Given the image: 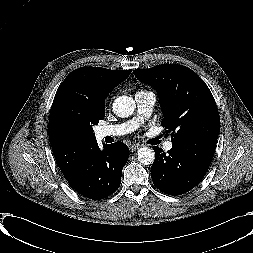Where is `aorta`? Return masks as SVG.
Returning a JSON list of instances; mask_svg holds the SVG:
<instances>
[{
	"label": "aorta",
	"instance_id": "762f6f07",
	"mask_svg": "<svg viewBox=\"0 0 253 253\" xmlns=\"http://www.w3.org/2000/svg\"><path fill=\"white\" fill-rule=\"evenodd\" d=\"M136 108L135 101L129 96H119L113 103V112L121 118H126L134 113ZM138 161L143 165H150L155 160L154 150L148 147H142L137 152Z\"/></svg>",
	"mask_w": 253,
	"mask_h": 253
}]
</instances>
